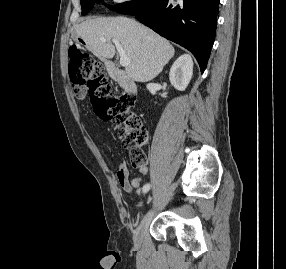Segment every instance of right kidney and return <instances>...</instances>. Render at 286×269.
<instances>
[{
    "mask_svg": "<svg viewBox=\"0 0 286 269\" xmlns=\"http://www.w3.org/2000/svg\"><path fill=\"white\" fill-rule=\"evenodd\" d=\"M193 74V61L190 55H181L172 65L169 78L172 86L179 90L184 91Z\"/></svg>",
    "mask_w": 286,
    "mask_h": 269,
    "instance_id": "right-kidney-1",
    "label": "right kidney"
}]
</instances>
